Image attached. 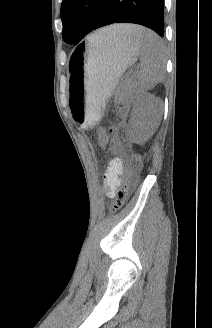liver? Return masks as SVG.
Wrapping results in <instances>:
<instances>
[{
    "instance_id": "obj_1",
    "label": "liver",
    "mask_w": 212,
    "mask_h": 328,
    "mask_svg": "<svg viewBox=\"0 0 212 328\" xmlns=\"http://www.w3.org/2000/svg\"><path fill=\"white\" fill-rule=\"evenodd\" d=\"M135 25L117 24L97 31L98 42L122 41L126 42L134 38Z\"/></svg>"
}]
</instances>
